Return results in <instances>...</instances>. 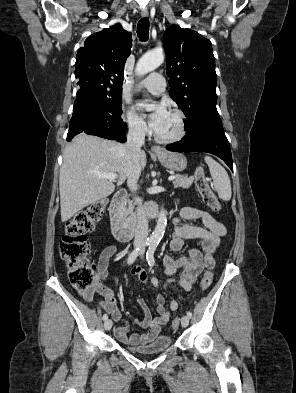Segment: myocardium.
<instances>
[{"label":"myocardium","mask_w":296,"mask_h":393,"mask_svg":"<svg viewBox=\"0 0 296 393\" xmlns=\"http://www.w3.org/2000/svg\"><path fill=\"white\" fill-rule=\"evenodd\" d=\"M171 114L175 115L178 119V131L176 132L175 135L171 137H161L158 134L155 133V140L159 143L162 144H171V143H176L180 140H182L187 131V125H186V117L184 113L180 110L173 109L170 111Z\"/></svg>","instance_id":"1"}]
</instances>
